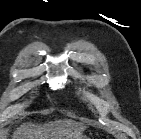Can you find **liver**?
<instances>
[{
    "instance_id": "liver-1",
    "label": "liver",
    "mask_w": 141,
    "mask_h": 139,
    "mask_svg": "<svg viewBox=\"0 0 141 139\" xmlns=\"http://www.w3.org/2000/svg\"><path fill=\"white\" fill-rule=\"evenodd\" d=\"M85 128L83 124L70 119L44 124L27 122L15 130L12 139H81Z\"/></svg>"
}]
</instances>
